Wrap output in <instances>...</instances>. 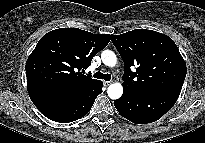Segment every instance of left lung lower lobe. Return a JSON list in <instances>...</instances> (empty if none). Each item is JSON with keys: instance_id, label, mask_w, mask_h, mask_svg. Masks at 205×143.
<instances>
[{"instance_id": "0a47b994", "label": "left lung lower lobe", "mask_w": 205, "mask_h": 143, "mask_svg": "<svg viewBox=\"0 0 205 143\" xmlns=\"http://www.w3.org/2000/svg\"><path fill=\"white\" fill-rule=\"evenodd\" d=\"M181 89L170 87L144 93L123 91L114 101L118 112L135 124H146L160 119L177 101Z\"/></svg>"}]
</instances>
